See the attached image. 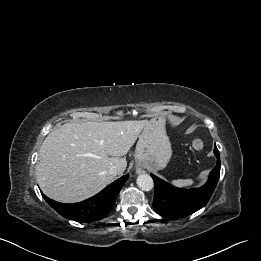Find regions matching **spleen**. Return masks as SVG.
Here are the masks:
<instances>
[{
  "mask_svg": "<svg viewBox=\"0 0 261 261\" xmlns=\"http://www.w3.org/2000/svg\"><path fill=\"white\" fill-rule=\"evenodd\" d=\"M193 183H194V181L192 179H177V180L172 181V184L179 188L189 187Z\"/></svg>",
  "mask_w": 261,
  "mask_h": 261,
  "instance_id": "obj_1",
  "label": "spleen"
}]
</instances>
